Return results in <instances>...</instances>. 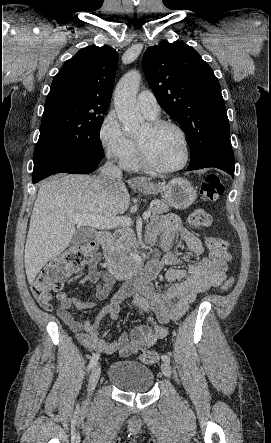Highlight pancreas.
Returning <instances> with one entry per match:
<instances>
[{
	"instance_id": "pancreas-1",
	"label": "pancreas",
	"mask_w": 271,
	"mask_h": 443,
	"mask_svg": "<svg viewBox=\"0 0 271 443\" xmlns=\"http://www.w3.org/2000/svg\"><path fill=\"white\" fill-rule=\"evenodd\" d=\"M151 206H153V216L165 214V212H168L169 210L168 204L161 202V200H153ZM135 245V233L133 229L127 227V229H122V231H117V233H115V237H113L112 241H109L106 251L113 253L114 257H120V255L127 257L128 251H130L131 247H135Z\"/></svg>"
}]
</instances>
